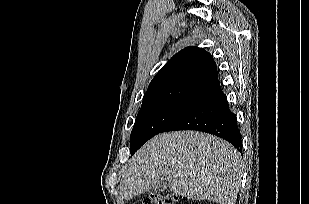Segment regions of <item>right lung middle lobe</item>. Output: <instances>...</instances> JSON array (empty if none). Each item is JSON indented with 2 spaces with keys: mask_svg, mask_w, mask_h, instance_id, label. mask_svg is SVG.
<instances>
[{
  "mask_svg": "<svg viewBox=\"0 0 309 204\" xmlns=\"http://www.w3.org/2000/svg\"><path fill=\"white\" fill-rule=\"evenodd\" d=\"M195 105L196 103L190 101L171 100L142 104L131 133V155L146 141L161 133L171 122Z\"/></svg>",
  "mask_w": 309,
  "mask_h": 204,
  "instance_id": "1",
  "label": "right lung middle lobe"
}]
</instances>
